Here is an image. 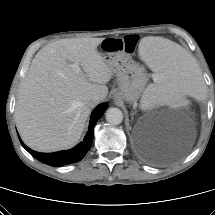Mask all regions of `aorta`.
Returning <instances> with one entry per match:
<instances>
[{"mask_svg":"<svg viewBox=\"0 0 215 215\" xmlns=\"http://www.w3.org/2000/svg\"><path fill=\"white\" fill-rule=\"evenodd\" d=\"M106 121L111 125H119L123 121V113L119 108H109L106 111Z\"/></svg>","mask_w":215,"mask_h":215,"instance_id":"aorta-1","label":"aorta"}]
</instances>
